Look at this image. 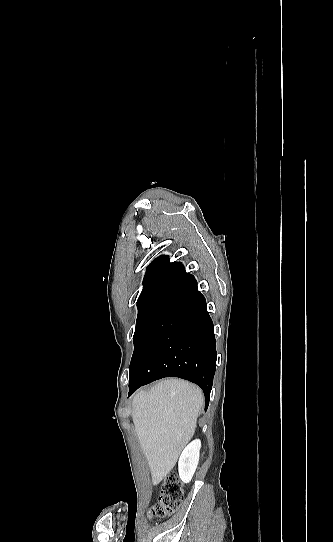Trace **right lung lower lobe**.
I'll return each instance as SVG.
<instances>
[{
    "label": "right lung lower lobe",
    "instance_id": "obj_1",
    "mask_svg": "<svg viewBox=\"0 0 333 542\" xmlns=\"http://www.w3.org/2000/svg\"><path fill=\"white\" fill-rule=\"evenodd\" d=\"M184 270L180 262L171 263ZM213 322L197 281L189 275L150 313L129 369V396L140 386L164 377L196 383L208 407L216 369Z\"/></svg>",
    "mask_w": 333,
    "mask_h": 542
}]
</instances>
